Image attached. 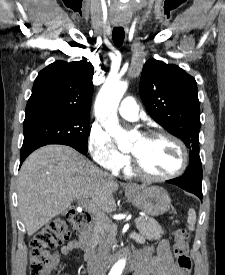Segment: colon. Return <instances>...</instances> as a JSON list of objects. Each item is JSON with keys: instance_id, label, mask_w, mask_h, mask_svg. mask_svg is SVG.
<instances>
[{"instance_id": "colon-1", "label": "colon", "mask_w": 225, "mask_h": 275, "mask_svg": "<svg viewBox=\"0 0 225 275\" xmlns=\"http://www.w3.org/2000/svg\"><path fill=\"white\" fill-rule=\"evenodd\" d=\"M90 215L85 211L71 210L63 217H58L48 222L38 231L30 245V274L50 275L59 260L55 250L69 238L72 232L78 231ZM173 252L178 267L190 275L192 261L189 256V230L186 225L175 229Z\"/></svg>"}]
</instances>
